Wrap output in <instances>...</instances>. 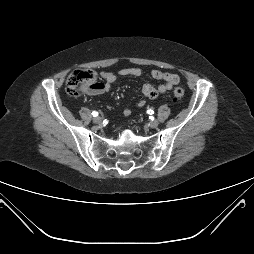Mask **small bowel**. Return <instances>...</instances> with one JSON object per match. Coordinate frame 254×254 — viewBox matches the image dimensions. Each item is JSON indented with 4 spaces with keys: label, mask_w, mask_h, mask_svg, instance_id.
<instances>
[{
    "label": "small bowel",
    "mask_w": 254,
    "mask_h": 254,
    "mask_svg": "<svg viewBox=\"0 0 254 254\" xmlns=\"http://www.w3.org/2000/svg\"><path fill=\"white\" fill-rule=\"evenodd\" d=\"M142 74V70L138 67L122 68L117 72L102 71L100 73L103 82L99 84L98 87L90 89L88 92L90 94H103L111 90L112 85L118 80L119 77L132 76L138 77ZM152 78L162 81L158 86H153L146 83L142 87L143 95L148 99H156L159 95L166 93L171 90L173 86L179 84L180 78L177 74L163 72L160 70H152L150 72ZM145 105V100L141 99L137 102L138 107H143ZM131 110L126 108L124 110V115L129 116Z\"/></svg>",
    "instance_id": "c3829d8e"
}]
</instances>
